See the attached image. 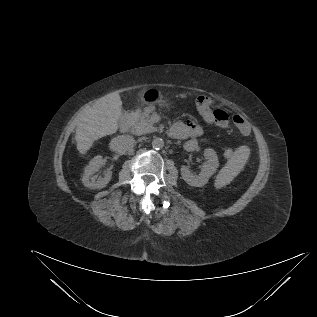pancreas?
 <instances>
[{"mask_svg":"<svg viewBox=\"0 0 317 317\" xmlns=\"http://www.w3.org/2000/svg\"><path fill=\"white\" fill-rule=\"evenodd\" d=\"M151 108H146L143 112H137L131 115L130 132L136 135L151 133L157 131L150 120Z\"/></svg>","mask_w":317,"mask_h":317,"instance_id":"cf45deb5","label":"pancreas"}]
</instances>
